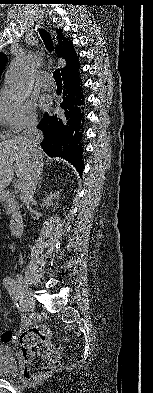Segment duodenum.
Masks as SVG:
<instances>
[{
	"mask_svg": "<svg viewBox=\"0 0 153 393\" xmlns=\"http://www.w3.org/2000/svg\"><path fill=\"white\" fill-rule=\"evenodd\" d=\"M0 198L13 206L10 213L9 229L13 236H19L23 232L24 228L23 215L16 208V201L12 194L3 192L0 194Z\"/></svg>",
	"mask_w": 153,
	"mask_h": 393,
	"instance_id": "obj_1",
	"label": "duodenum"
}]
</instances>
